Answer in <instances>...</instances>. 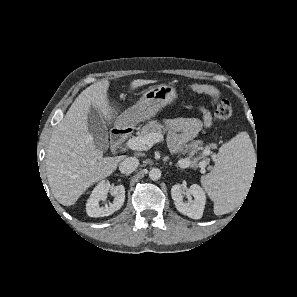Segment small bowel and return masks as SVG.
<instances>
[{
  "instance_id": "1",
  "label": "small bowel",
  "mask_w": 297,
  "mask_h": 297,
  "mask_svg": "<svg viewBox=\"0 0 297 297\" xmlns=\"http://www.w3.org/2000/svg\"><path fill=\"white\" fill-rule=\"evenodd\" d=\"M201 119L174 118L165 121L168 129V142L171 150L177 151L181 146L193 140L200 131L212 124V116L205 107H200ZM176 132H180L177 134Z\"/></svg>"
}]
</instances>
